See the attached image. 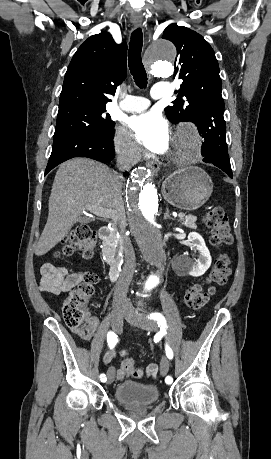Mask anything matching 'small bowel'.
I'll use <instances>...</instances> for the list:
<instances>
[{
    "instance_id": "small-bowel-1",
    "label": "small bowel",
    "mask_w": 271,
    "mask_h": 459,
    "mask_svg": "<svg viewBox=\"0 0 271 459\" xmlns=\"http://www.w3.org/2000/svg\"><path fill=\"white\" fill-rule=\"evenodd\" d=\"M86 273L87 272L85 271L70 272L65 267L45 264L41 269V290L53 295H60L68 292L83 280ZM98 327L99 319L95 316H89L84 323L77 327H73L72 332L84 341H94L96 339ZM114 356L113 351H106L103 357L104 363L109 365L114 359ZM157 370L158 367L156 364H150L146 369L149 376H155ZM114 371L115 377L119 381H122L127 377L126 372L121 369L117 371L114 369Z\"/></svg>"
}]
</instances>
